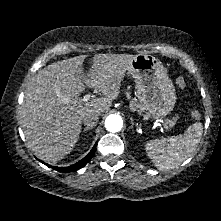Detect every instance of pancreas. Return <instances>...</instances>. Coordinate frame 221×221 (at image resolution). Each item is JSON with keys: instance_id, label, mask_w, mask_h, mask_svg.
Masks as SVG:
<instances>
[{"instance_id": "obj_1", "label": "pancreas", "mask_w": 221, "mask_h": 221, "mask_svg": "<svg viewBox=\"0 0 221 221\" xmlns=\"http://www.w3.org/2000/svg\"><path fill=\"white\" fill-rule=\"evenodd\" d=\"M126 95L129 97L130 96V93L129 92H126ZM132 105L134 107H136L137 111L141 114L144 112V108L142 105L140 104H135L134 102L132 103ZM175 121H176V117L173 119V120H167V124L168 126L172 127L175 125Z\"/></svg>"}]
</instances>
